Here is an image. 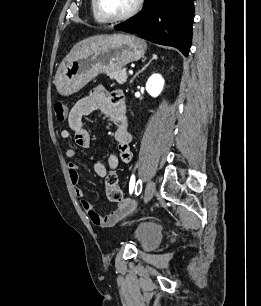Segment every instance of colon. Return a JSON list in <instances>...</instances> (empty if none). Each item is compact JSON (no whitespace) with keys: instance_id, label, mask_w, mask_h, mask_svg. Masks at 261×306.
<instances>
[{"instance_id":"obj_1","label":"colon","mask_w":261,"mask_h":306,"mask_svg":"<svg viewBox=\"0 0 261 306\" xmlns=\"http://www.w3.org/2000/svg\"><path fill=\"white\" fill-rule=\"evenodd\" d=\"M54 112L57 121L63 122L67 116L68 109L64 103L57 102L54 105ZM106 193L112 202H121L123 200V193L118 184V177L114 172L106 176Z\"/></svg>"}]
</instances>
